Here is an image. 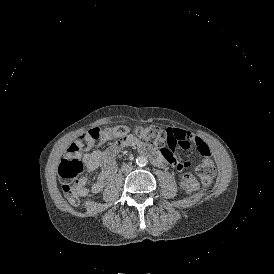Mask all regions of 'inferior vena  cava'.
I'll list each match as a JSON object with an SVG mask.
<instances>
[{
    "label": "inferior vena cava",
    "mask_w": 274,
    "mask_h": 274,
    "mask_svg": "<svg viewBox=\"0 0 274 274\" xmlns=\"http://www.w3.org/2000/svg\"><path fill=\"white\" fill-rule=\"evenodd\" d=\"M128 168H129V169H130V171H131L132 167H131V166H128Z\"/></svg>",
    "instance_id": "inferior-vena-cava-1"
}]
</instances>
